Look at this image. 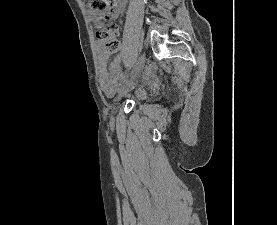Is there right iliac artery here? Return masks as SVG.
<instances>
[{
    "mask_svg": "<svg viewBox=\"0 0 277 225\" xmlns=\"http://www.w3.org/2000/svg\"><path fill=\"white\" fill-rule=\"evenodd\" d=\"M136 68H137V65L132 66V68L130 70V73L126 76V78L123 81V85L129 83L133 79V77L135 75Z\"/></svg>",
    "mask_w": 277,
    "mask_h": 225,
    "instance_id": "right-iliac-artery-1",
    "label": "right iliac artery"
}]
</instances>
